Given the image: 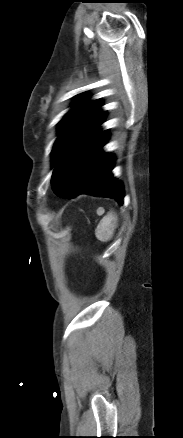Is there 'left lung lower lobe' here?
I'll use <instances>...</instances> for the list:
<instances>
[{
  "label": "left lung lower lobe",
  "mask_w": 183,
  "mask_h": 438,
  "mask_svg": "<svg viewBox=\"0 0 183 438\" xmlns=\"http://www.w3.org/2000/svg\"><path fill=\"white\" fill-rule=\"evenodd\" d=\"M108 138L107 130H95L61 158L51 180L55 194L69 199L90 194L123 203V186L111 173L115 158L101 151Z\"/></svg>",
  "instance_id": "1"
}]
</instances>
